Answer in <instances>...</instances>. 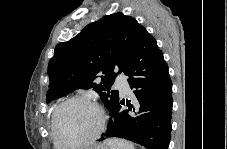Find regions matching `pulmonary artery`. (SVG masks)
<instances>
[{
  "instance_id": "1",
  "label": "pulmonary artery",
  "mask_w": 227,
  "mask_h": 149,
  "mask_svg": "<svg viewBox=\"0 0 227 149\" xmlns=\"http://www.w3.org/2000/svg\"><path fill=\"white\" fill-rule=\"evenodd\" d=\"M114 87L118 88L124 94L130 93V88H129L128 82H127L126 78H124V77H119L115 81Z\"/></svg>"
}]
</instances>
